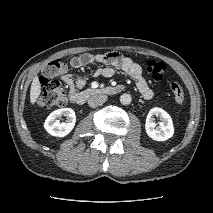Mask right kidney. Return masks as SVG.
Returning <instances> with one entry per match:
<instances>
[{
  "instance_id": "obj_1",
  "label": "right kidney",
  "mask_w": 213,
  "mask_h": 213,
  "mask_svg": "<svg viewBox=\"0 0 213 213\" xmlns=\"http://www.w3.org/2000/svg\"><path fill=\"white\" fill-rule=\"evenodd\" d=\"M62 115L67 117L66 122L61 123L58 120ZM75 123L76 116L74 110L71 108H62L49 114L44 122V128L52 136L64 137L72 131Z\"/></svg>"
}]
</instances>
